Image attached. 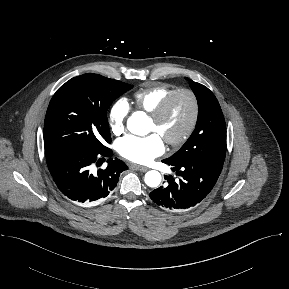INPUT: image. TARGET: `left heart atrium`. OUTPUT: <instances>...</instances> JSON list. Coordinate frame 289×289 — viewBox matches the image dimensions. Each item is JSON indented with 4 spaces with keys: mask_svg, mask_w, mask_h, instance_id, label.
I'll list each match as a JSON object with an SVG mask.
<instances>
[{
    "mask_svg": "<svg viewBox=\"0 0 289 289\" xmlns=\"http://www.w3.org/2000/svg\"><path fill=\"white\" fill-rule=\"evenodd\" d=\"M117 151L125 159L147 164L160 156L164 150V142L157 133L139 137L127 135L117 141Z\"/></svg>",
    "mask_w": 289,
    "mask_h": 289,
    "instance_id": "39dd6f15",
    "label": "left heart atrium"
}]
</instances>
